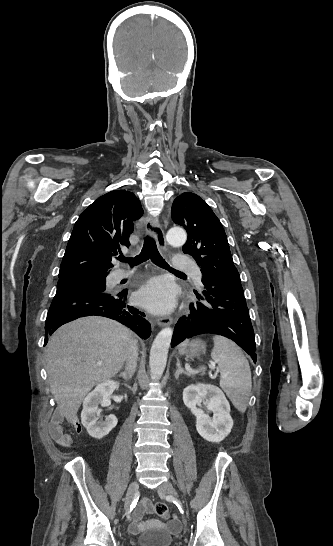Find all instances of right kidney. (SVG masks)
I'll use <instances>...</instances> for the list:
<instances>
[{
  "label": "right kidney",
  "mask_w": 333,
  "mask_h": 546,
  "mask_svg": "<svg viewBox=\"0 0 333 546\" xmlns=\"http://www.w3.org/2000/svg\"><path fill=\"white\" fill-rule=\"evenodd\" d=\"M118 388V383L107 380L98 384L83 401L81 422L88 434L96 439H101L117 425L115 415H109L105 420H100L99 405L108 407L111 404L110 397L113 391Z\"/></svg>",
  "instance_id": "obj_1"
}]
</instances>
